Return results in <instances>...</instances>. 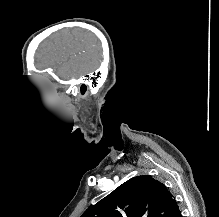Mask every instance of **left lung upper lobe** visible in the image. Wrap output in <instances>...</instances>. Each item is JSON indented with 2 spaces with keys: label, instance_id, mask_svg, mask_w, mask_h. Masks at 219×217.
<instances>
[{
  "label": "left lung upper lobe",
  "instance_id": "5c2ea615",
  "mask_svg": "<svg viewBox=\"0 0 219 217\" xmlns=\"http://www.w3.org/2000/svg\"><path fill=\"white\" fill-rule=\"evenodd\" d=\"M174 196L150 175L129 179L88 208L81 217H176Z\"/></svg>",
  "mask_w": 219,
  "mask_h": 217
}]
</instances>
